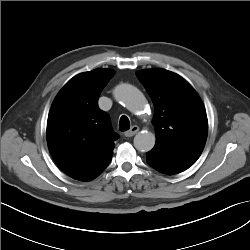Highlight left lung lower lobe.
<instances>
[{"label": "left lung lower lobe", "instance_id": "0a47b994", "mask_svg": "<svg viewBox=\"0 0 250 250\" xmlns=\"http://www.w3.org/2000/svg\"><path fill=\"white\" fill-rule=\"evenodd\" d=\"M198 158L199 156L196 155L171 154L154 149L146 153L147 163L155 170L168 175L188 169Z\"/></svg>", "mask_w": 250, "mask_h": 250}]
</instances>
